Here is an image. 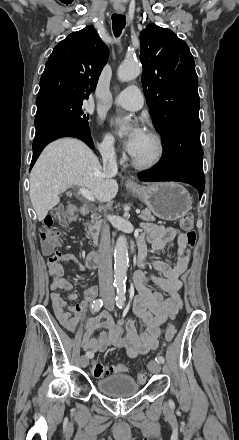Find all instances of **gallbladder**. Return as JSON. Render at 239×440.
<instances>
[{"mask_svg":"<svg viewBox=\"0 0 239 440\" xmlns=\"http://www.w3.org/2000/svg\"><path fill=\"white\" fill-rule=\"evenodd\" d=\"M72 192L69 190V191H67L65 194H66V196L69 198L71 195Z\"/></svg>","mask_w":239,"mask_h":440,"instance_id":"gallbladder-1","label":"gallbladder"}]
</instances>
